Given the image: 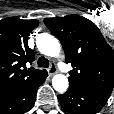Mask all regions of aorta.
<instances>
[{"instance_id": "obj_1", "label": "aorta", "mask_w": 114, "mask_h": 114, "mask_svg": "<svg viewBox=\"0 0 114 114\" xmlns=\"http://www.w3.org/2000/svg\"><path fill=\"white\" fill-rule=\"evenodd\" d=\"M36 44L42 54L50 57H57L61 50L58 40L49 34L39 35ZM52 85L56 91L63 93L68 89V78L63 74H57L52 79Z\"/></svg>"}]
</instances>
